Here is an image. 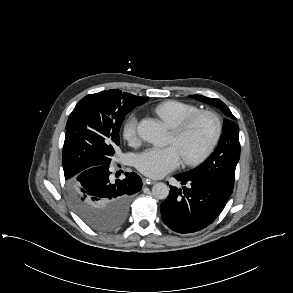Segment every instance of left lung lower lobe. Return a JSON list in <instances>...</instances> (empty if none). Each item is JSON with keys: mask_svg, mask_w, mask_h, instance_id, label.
Returning a JSON list of instances; mask_svg holds the SVG:
<instances>
[{"mask_svg": "<svg viewBox=\"0 0 293 293\" xmlns=\"http://www.w3.org/2000/svg\"><path fill=\"white\" fill-rule=\"evenodd\" d=\"M190 188L170 186L167 199L161 204L163 222L178 233H193L210 225L224 209L233 188L210 178L187 173L174 176Z\"/></svg>", "mask_w": 293, "mask_h": 293, "instance_id": "obj_1", "label": "left lung lower lobe"}]
</instances>
